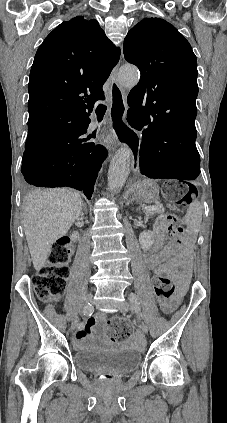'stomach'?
<instances>
[{
  "instance_id": "obj_1",
  "label": "stomach",
  "mask_w": 227,
  "mask_h": 423,
  "mask_svg": "<svg viewBox=\"0 0 227 423\" xmlns=\"http://www.w3.org/2000/svg\"><path fill=\"white\" fill-rule=\"evenodd\" d=\"M133 192L136 200L144 202V204H152L159 200V188L156 182L152 180H141L133 186Z\"/></svg>"
}]
</instances>
